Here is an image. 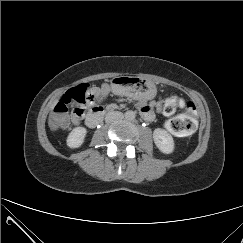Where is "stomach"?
<instances>
[{
    "mask_svg": "<svg viewBox=\"0 0 243 243\" xmlns=\"http://www.w3.org/2000/svg\"><path fill=\"white\" fill-rule=\"evenodd\" d=\"M111 88L115 94H123L134 99H150L157 92L153 83L132 76L116 77L112 82Z\"/></svg>",
    "mask_w": 243,
    "mask_h": 243,
    "instance_id": "1",
    "label": "stomach"
}]
</instances>
